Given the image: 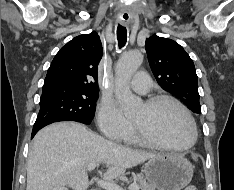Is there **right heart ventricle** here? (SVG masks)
Listing matches in <instances>:
<instances>
[{
    "mask_svg": "<svg viewBox=\"0 0 234 190\" xmlns=\"http://www.w3.org/2000/svg\"><path fill=\"white\" fill-rule=\"evenodd\" d=\"M127 144L140 145L142 144L141 140L138 138L134 125L130 127L129 131L125 134L122 139Z\"/></svg>",
    "mask_w": 234,
    "mask_h": 190,
    "instance_id": "e07e8e85",
    "label": "right heart ventricle"
}]
</instances>
